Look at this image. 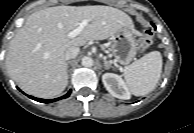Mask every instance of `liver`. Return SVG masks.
I'll return each instance as SVG.
<instances>
[{
    "instance_id": "6515ba94",
    "label": "liver",
    "mask_w": 194,
    "mask_h": 133,
    "mask_svg": "<svg viewBox=\"0 0 194 133\" xmlns=\"http://www.w3.org/2000/svg\"><path fill=\"white\" fill-rule=\"evenodd\" d=\"M88 24L74 38L68 36L82 20ZM124 26L134 27L123 11L110 6H56L32 13L10 41L6 67L27 93L53 98L68 84L65 52L90 40H104Z\"/></svg>"
}]
</instances>
